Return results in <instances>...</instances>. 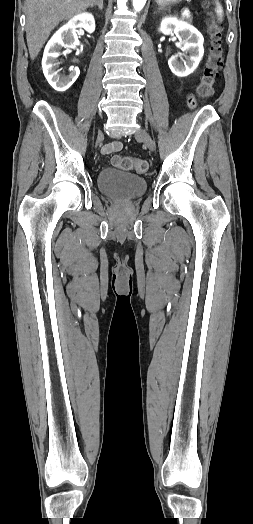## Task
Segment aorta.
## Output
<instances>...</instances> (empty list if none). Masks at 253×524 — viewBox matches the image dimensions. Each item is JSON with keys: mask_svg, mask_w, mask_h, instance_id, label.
Returning <instances> with one entry per match:
<instances>
[{"mask_svg": "<svg viewBox=\"0 0 253 524\" xmlns=\"http://www.w3.org/2000/svg\"><path fill=\"white\" fill-rule=\"evenodd\" d=\"M147 0H133V7L136 11H141Z\"/></svg>", "mask_w": 253, "mask_h": 524, "instance_id": "1", "label": "aorta"}]
</instances>
